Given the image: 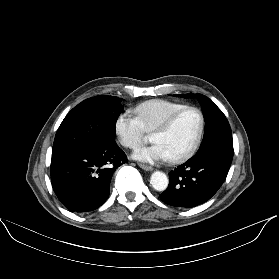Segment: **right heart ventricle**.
<instances>
[{
  "label": "right heart ventricle",
  "mask_w": 279,
  "mask_h": 279,
  "mask_svg": "<svg viewBox=\"0 0 279 279\" xmlns=\"http://www.w3.org/2000/svg\"><path fill=\"white\" fill-rule=\"evenodd\" d=\"M186 106L185 104L153 99L142 102L134 108L141 125L146 132H153L171 113Z\"/></svg>",
  "instance_id": "right-heart-ventricle-1"
}]
</instances>
